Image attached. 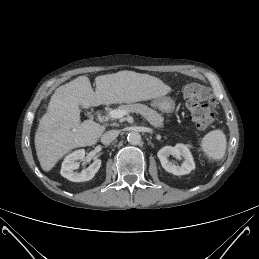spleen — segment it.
I'll return each instance as SVG.
<instances>
[{"label": "spleen", "instance_id": "3e777b00", "mask_svg": "<svg viewBox=\"0 0 259 259\" xmlns=\"http://www.w3.org/2000/svg\"><path fill=\"white\" fill-rule=\"evenodd\" d=\"M201 148L209 159L221 160L227 148L226 135L220 129L207 133L201 140Z\"/></svg>", "mask_w": 259, "mask_h": 259}]
</instances>
